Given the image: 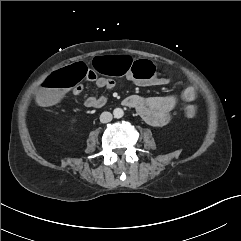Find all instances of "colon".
<instances>
[{
	"label": "colon",
	"mask_w": 241,
	"mask_h": 241,
	"mask_svg": "<svg viewBox=\"0 0 241 241\" xmlns=\"http://www.w3.org/2000/svg\"><path fill=\"white\" fill-rule=\"evenodd\" d=\"M90 67L97 74H108L110 76H131L136 79L147 80L154 76L155 65L149 60L112 55H97L92 58ZM89 74L88 67L82 62H74L57 69L54 74L46 73L40 79L43 87L38 95L37 101L40 105L49 106L55 104L62 93L71 87H75ZM198 114V108L188 105L185 108V115L193 118Z\"/></svg>",
	"instance_id": "5ec220e1"
}]
</instances>
